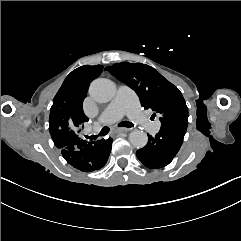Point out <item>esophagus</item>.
<instances>
[{
	"instance_id": "esophagus-1",
	"label": "esophagus",
	"mask_w": 241,
	"mask_h": 241,
	"mask_svg": "<svg viewBox=\"0 0 241 241\" xmlns=\"http://www.w3.org/2000/svg\"><path fill=\"white\" fill-rule=\"evenodd\" d=\"M129 131H130V129H128V128H119V129L115 130V133H119V132H129Z\"/></svg>"
}]
</instances>
